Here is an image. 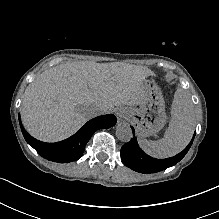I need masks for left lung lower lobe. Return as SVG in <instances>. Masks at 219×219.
<instances>
[{"instance_id":"left-lung-lower-lobe-1","label":"left lung lower lobe","mask_w":219,"mask_h":219,"mask_svg":"<svg viewBox=\"0 0 219 219\" xmlns=\"http://www.w3.org/2000/svg\"><path fill=\"white\" fill-rule=\"evenodd\" d=\"M134 133L133 127H131ZM195 136V134H194ZM194 136L188 146L179 154L167 159H156L145 154L140 149L136 137L134 136L128 143L124 144L121 148V158L124 164L132 170L144 174L155 173L163 171L177 162H179L190 149Z\"/></svg>"}]
</instances>
